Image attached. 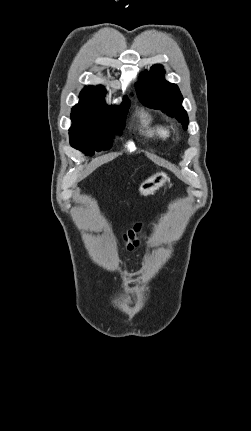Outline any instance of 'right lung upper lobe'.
I'll list each match as a JSON object with an SVG mask.
<instances>
[{
	"label": "right lung upper lobe",
	"mask_w": 251,
	"mask_h": 431,
	"mask_svg": "<svg viewBox=\"0 0 251 431\" xmlns=\"http://www.w3.org/2000/svg\"><path fill=\"white\" fill-rule=\"evenodd\" d=\"M81 94H88V95H98V96H103L105 95V89L102 86H98V87H94V86H89V87H85ZM124 100H128L127 97L124 98Z\"/></svg>",
	"instance_id": "cb5924a9"
}]
</instances>
